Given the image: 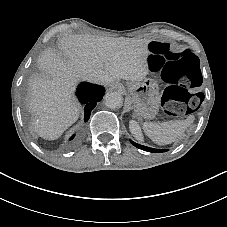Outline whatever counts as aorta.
<instances>
[{
  "instance_id": "1",
  "label": "aorta",
  "mask_w": 227,
  "mask_h": 227,
  "mask_svg": "<svg viewBox=\"0 0 227 227\" xmlns=\"http://www.w3.org/2000/svg\"><path fill=\"white\" fill-rule=\"evenodd\" d=\"M105 105L110 109L119 108L123 105V96L120 92H107L104 97Z\"/></svg>"
}]
</instances>
